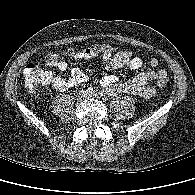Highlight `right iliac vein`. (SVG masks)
<instances>
[{"instance_id":"63e3f726","label":"right iliac vein","mask_w":195,"mask_h":195,"mask_svg":"<svg viewBox=\"0 0 195 195\" xmlns=\"http://www.w3.org/2000/svg\"><path fill=\"white\" fill-rule=\"evenodd\" d=\"M87 92H85V91H80L78 94H77V96H76V99L78 100V101H81V100H83V99H85L86 97H87Z\"/></svg>"}]
</instances>
